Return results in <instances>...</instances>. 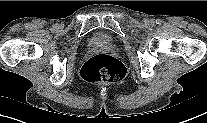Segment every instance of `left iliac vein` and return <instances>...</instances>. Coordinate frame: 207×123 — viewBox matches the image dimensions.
<instances>
[{"label":"left iliac vein","mask_w":207,"mask_h":123,"mask_svg":"<svg viewBox=\"0 0 207 123\" xmlns=\"http://www.w3.org/2000/svg\"><path fill=\"white\" fill-rule=\"evenodd\" d=\"M151 24L153 23V21H149Z\"/></svg>","instance_id":"left-iliac-vein-1"}]
</instances>
